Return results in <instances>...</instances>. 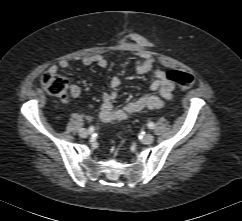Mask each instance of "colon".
I'll list each match as a JSON object with an SVG mask.
<instances>
[{
    "label": "colon",
    "instance_id": "5ec220e1",
    "mask_svg": "<svg viewBox=\"0 0 242 221\" xmlns=\"http://www.w3.org/2000/svg\"><path fill=\"white\" fill-rule=\"evenodd\" d=\"M165 78L173 83H176L182 89H190L193 87L195 80L194 77L183 71H167ZM40 84L43 89L53 96L60 98H67V81L57 72L46 71L40 78Z\"/></svg>",
    "mask_w": 242,
    "mask_h": 221
}]
</instances>
